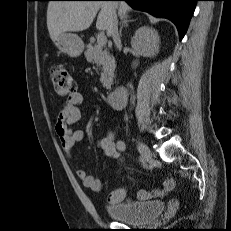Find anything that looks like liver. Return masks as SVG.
Here are the masks:
<instances>
[{"label": "liver", "instance_id": "6515ba94", "mask_svg": "<svg viewBox=\"0 0 231 231\" xmlns=\"http://www.w3.org/2000/svg\"><path fill=\"white\" fill-rule=\"evenodd\" d=\"M118 15L127 17L130 7L125 2L50 1L47 8V28L54 41L61 33L78 32L90 27L97 13L96 27L111 36V21Z\"/></svg>", "mask_w": 231, "mask_h": 231}]
</instances>
